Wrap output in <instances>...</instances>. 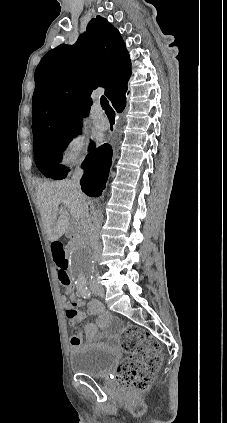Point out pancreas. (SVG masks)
<instances>
[{
  "label": "pancreas",
  "instance_id": "cf45deb5",
  "mask_svg": "<svg viewBox=\"0 0 227 423\" xmlns=\"http://www.w3.org/2000/svg\"><path fill=\"white\" fill-rule=\"evenodd\" d=\"M75 231L76 233H84V227L77 221V225H75Z\"/></svg>",
  "mask_w": 227,
  "mask_h": 423
}]
</instances>
